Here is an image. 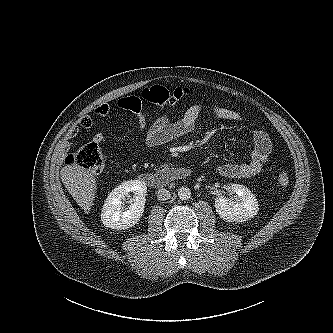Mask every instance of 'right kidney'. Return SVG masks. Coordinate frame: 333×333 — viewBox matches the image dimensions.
<instances>
[{
  "instance_id": "right-kidney-1",
  "label": "right kidney",
  "mask_w": 333,
  "mask_h": 333,
  "mask_svg": "<svg viewBox=\"0 0 333 333\" xmlns=\"http://www.w3.org/2000/svg\"><path fill=\"white\" fill-rule=\"evenodd\" d=\"M130 192L134 193L133 202L127 209L123 201ZM147 187L139 180H129L114 188L105 200L101 221L105 227L124 230L133 227L143 215Z\"/></svg>"
}]
</instances>
